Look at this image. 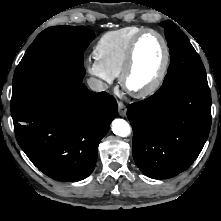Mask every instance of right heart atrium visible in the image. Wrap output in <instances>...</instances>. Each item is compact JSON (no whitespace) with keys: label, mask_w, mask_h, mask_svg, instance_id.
Instances as JSON below:
<instances>
[{"label":"right heart atrium","mask_w":221,"mask_h":221,"mask_svg":"<svg viewBox=\"0 0 221 221\" xmlns=\"http://www.w3.org/2000/svg\"><path fill=\"white\" fill-rule=\"evenodd\" d=\"M87 69L89 73L105 83H112L114 77L109 74L96 59L87 61Z\"/></svg>","instance_id":"d8ad5b80"}]
</instances>
